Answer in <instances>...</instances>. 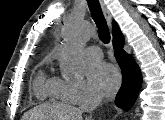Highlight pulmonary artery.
<instances>
[{"label": "pulmonary artery", "mask_w": 165, "mask_h": 120, "mask_svg": "<svg viewBox=\"0 0 165 120\" xmlns=\"http://www.w3.org/2000/svg\"><path fill=\"white\" fill-rule=\"evenodd\" d=\"M86 57L91 61L100 60L103 57L102 51L98 46H90L85 50Z\"/></svg>", "instance_id": "obj_1"}]
</instances>
